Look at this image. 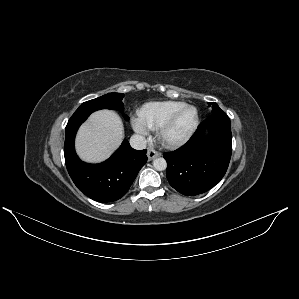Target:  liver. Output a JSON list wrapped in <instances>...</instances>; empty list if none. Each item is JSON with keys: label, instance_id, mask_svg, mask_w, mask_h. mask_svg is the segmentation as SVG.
Listing matches in <instances>:
<instances>
[{"label": "liver", "instance_id": "6515ba94", "mask_svg": "<svg viewBox=\"0 0 299 299\" xmlns=\"http://www.w3.org/2000/svg\"><path fill=\"white\" fill-rule=\"evenodd\" d=\"M123 137V124L115 111H96L80 127L76 136V151L86 162H101L120 146Z\"/></svg>", "mask_w": 299, "mask_h": 299}]
</instances>
